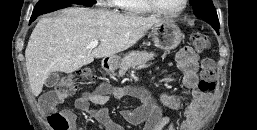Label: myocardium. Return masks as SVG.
I'll use <instances>...</instances> for the list:
<instances>
[{"mask_svg":"<svg viewBox=\"0 0 257 130\" xmlns=\"http://www.w3.org/2000/svg\"><path fill=\"white\" fill-rule=\"evenodd\" d=\"M188 1L189 0H183V4L180 7V9H178L177 11L174 12H169L166 11L164 9H162L157 3L156 0H145L147 6L155 13H158L160 15L163 16H167V17H177L179 16L181 13H183L185 11V9L187 8L188 5Z\"/></svg>","mask_w":257,"mask_h":130,"instance_id":"1","label":"myocardium"}]
</instances>
